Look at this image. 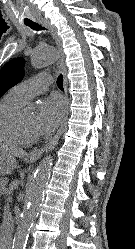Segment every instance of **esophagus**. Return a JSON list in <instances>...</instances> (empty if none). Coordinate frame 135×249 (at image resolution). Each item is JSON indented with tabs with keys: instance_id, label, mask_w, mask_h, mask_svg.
I'll return each mask as SVG.
<instances>
[{
	"instance_id": "obj_1",
	"label": "esophagus",
	"mask_w": 135,
	"mask_h": 249,
	"mask_svg": "<svg viewBox=\"0 0 135 249\" xmlns=\"http://www.w3.org/2000/svg\"><path fill=\"white\" fill-rule=\"evenodd\" d=\"M40 23L42 25H44L46 28L49 29V31L51 32L53 38L55 39L57 48L59 50L60 53V58L58 60L57 63V67L58 69L61 71L62 75H63V83H64V91H65V96L67 99V103H66V109H65V114L61 123L60 128L58 129L57 133L55 134V136L42 148H36L34 150H32L29 153V158L31 159H38L41 157V155L44 152H49L52 149H54V147L57 145L59 138L63 132L64 126L66 124V120L68 117V113H69V101H68V94H67V89H68V81H67V76H66V67L64 64V55L62 52V40L59 37V35L57 34V31L53 28V26L46 20H41Z\"/></svg>"
}]
</instances>
